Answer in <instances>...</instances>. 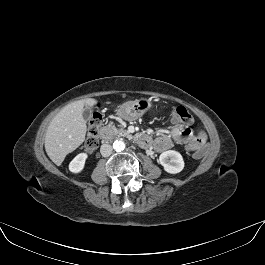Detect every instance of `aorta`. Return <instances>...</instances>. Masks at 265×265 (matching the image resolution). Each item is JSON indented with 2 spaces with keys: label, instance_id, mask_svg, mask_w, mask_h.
<instances>
[{
  "label": "aorta",
  "instance_id": "obj_1",
  "mask_svg": "<svg viewBox=\"0 0 265 265\" xmlns=\"http://www.w3.org/2000/svg\"><path fill=\"white\" fill-rule=\"evenodd\" d=\"M113 149L117 152H121L125 149V143L122 140H115L113 142Z\"/></svg>",
  "mask_w": 265,
  "mask_h": 265
}]
</instances>
